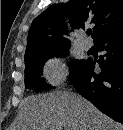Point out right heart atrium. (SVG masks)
<instances>
[{"label": "right heart atrium", "mask_w": 123, "mask_h": 130, "mask_svg": "<svg viewBox=\"0 0 123 130\" xmlns=\"http://www.w3.org/2000/svg\"><path fill=\"white\" fill-rule=\"evenodd\" d=\"M44 75L50 84L59 85L67 77V68L60 58H51L44 66Z\"/></svg>", "instance_id": "obj_1"}]
</instances>
